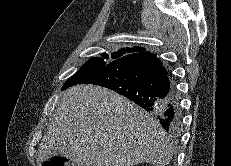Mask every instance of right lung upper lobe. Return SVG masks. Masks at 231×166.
<instances>
[{"label":"right lung upper lobe","instance_id":"cb5924a9","mask_svg":"<svg viewBox=\"0 0 231 166\" xmlns=\"http://www.w3.org/2000/svg\"><path fill=\"white\" fill-rule=\"evenodd\" d=\"M145 52L146 51L144 48L133 47V48L120 49L119 51L112 53V55L116 56V59H119V58L127 56V55H138V54H142Z\"/></svg>","mask_w":231,"mask_h":166}]
</instances>
